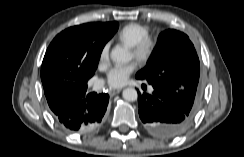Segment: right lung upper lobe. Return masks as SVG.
I'll return each instance as SVG.
<instances>
[{"mask_svg":"<svg viewBox=\"0 0 244 157\" xmlns=\"http://www.w3.org/2000/svg\"><path fill=\"white\" fill-rule=\"evenodd\" d=\"M118 26L117 22L80 25L79 27L86 30L90 37L82 40L76 47L71 48L68 55L72 56V65L69 72L64 74L62 81L59 83L53 82L41 75L45 95H52L66 88L81 89L86 87L88 79L93 76L92 58L94 54L100 47H104L106 42L117 31ZM64 32L58 34L51 43L57 41ZM42 65H44V61Z\"/></svg>","mask_w":244,"mask_h":157,"instance_id":"cb5924a9","label":"right lung upper lobe"}]
</instances>
